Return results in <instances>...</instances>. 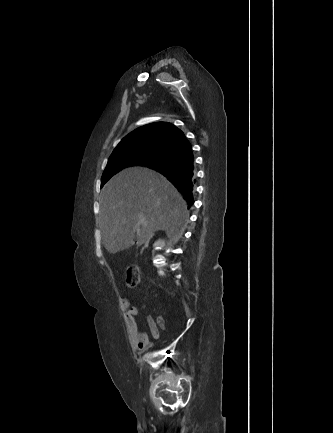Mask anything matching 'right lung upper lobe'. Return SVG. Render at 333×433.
<instances>
[{"label":"right lung upper lobe","mask_w":333,"mask_h":433,"mask_svg":"<svg viewBox=\"0 0 333 433\" xmlns=\"http://www.w3.org/2000/svg\"><path fill=\"white\" fill-rule=\"evenodd\" d=\"M187 142L184 133L168 122H155L139 127L127 135L116 148L125 146L147 145L162 147L169 151H175L183 142Z\"/></svg>","instance_id":"obj_1"}]
</instances>
